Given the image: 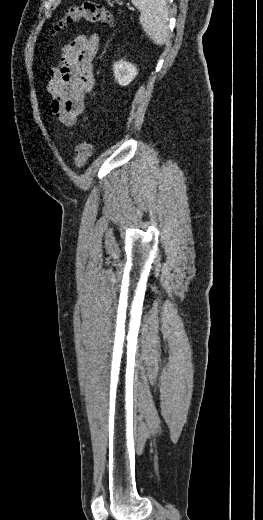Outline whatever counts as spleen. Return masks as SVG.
Instances as JSON below:
<instances>
[{"label": "spleen", "mask_w": 263, "mask_h": 520, "mask_svg": "<svg viewBox=\"0 0 263 520\" xmlns=\"http://www.w3.org/2000/svg\"><path fill=\"white\" fill-rule=\"evenodd\" d=\"M139 9L140 23L147 36L159 46L166 43L169 36V10L166 0H131Z\"/></svg>", "instance_id": "1"}]
</instances>
